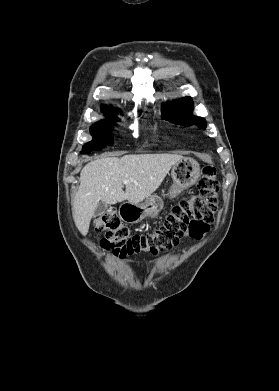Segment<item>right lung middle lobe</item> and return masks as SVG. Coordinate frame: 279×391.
Here are the masks:
<instances>
[{"mask_svg":"<svg viewBox=\"0 0 279 391\" xmlns=\"http://www.w3.org/2000/svg\"><path fill=\"white\" fill-rule=\"evenodd\" d=\"M106 115L109 120L95 123L90 129L94 139L83 146L81 153L88 154L91 151L102 149L106 145L113 144V135L111 133L113 121H117L119 119L111 113Z\"/></svg>","mask_w":279,"mask_h":391,"instance_id":"right-lung-middle-lobe-1","label":"right lung middle lobe"}]
</instances>
